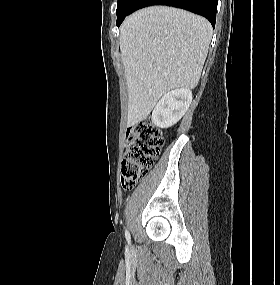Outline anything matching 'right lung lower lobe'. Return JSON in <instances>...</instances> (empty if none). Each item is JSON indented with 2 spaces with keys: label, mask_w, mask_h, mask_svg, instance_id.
I'll return each mask as SVG.
<instances>
[{
  "label": "right lung lower lobe",
  "mask_w": 280,
  "mask_h": 285,
  "mask_svg": "<svg viewBox=\"0 0 280 285\" xmlns=\"http://www.w3.org/2000/svg\"><path fill=\"white\" fill-rule=\"evenodd\" d=\"M217 4L218 0H137L132 12L147 6L167 5L182 8L202 15L210 21L214 28L216 22ZM123 20L116 22L117 26H120Z\"/></svg>",
  "instance_id": "obj_1"
}]
</instances>
